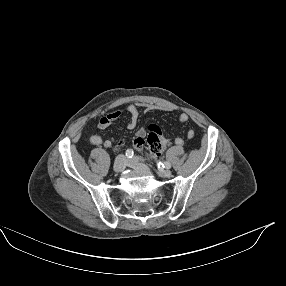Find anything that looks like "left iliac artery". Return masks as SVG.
<instances>
[{
	"label": "left iliac artery",
	"mask_w": 286,
	"mask_h": 286,
	"mask_svg": "<svg viewBox=\"0 0 286 286\" xmlns=\"http://www.w3.org/2000/svg\"><path fill=\"white\" fill-rule=\"evenodd\" d=\"M161 165L163 168H167V169L171 168V164L169 162H164Z\"/></svg>",
	"instance_id": "left-iliac-artery-1"
}]
</instances>
